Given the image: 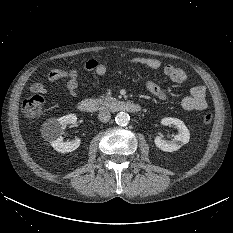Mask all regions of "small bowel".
Here are the masks:
<instances>
[{"mask_svg":"<svg viewBox=\"0 0 233 233\" xmlns=\"http://www.w3.org/2000/svg\"><path fill=\"white\" fill-rule=\"evenodd\" d=\"M132 61L136 65L144 66L152 70H158L162 67L161 62L156 58L136 57ZM83 69L86 71H92L98 76H104L107 72L106 65L96 59L87 60L83 64ZM163 71L170 81L176 84L184 83L187 80V75L181 68L168 64L164 66ZM78 75V69H53L49 72L47 78L49 82L66 79V89L69 95L77 97ZM146 89L152 96L158 99L164 100L168 97L167 91L154 81H147ZM31 91L37 95H44L49 91V88L44 83H35L31 86ZM181 105L185 111L205 110L207 108L206 88L202 85L192 87L190 94L182 99Z\"/></svg>","mask_w":233,"mask_h":233,"instance_id":"obj_1","label":"small bowel"}]
</instances>
